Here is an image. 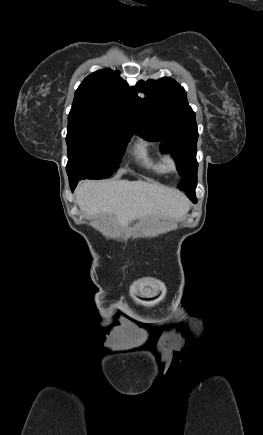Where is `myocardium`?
<instances>
[{
    "instance_id": "myocardium-1",
    "label": "myocardium",
    "mask_w": 263,
    "mask_h": 435,
    "mask_svg": "<svg viewBox=\"0 0 263 435\" xmlns=\"http://www.w3.org/2000/svg\"><path fill=\"white\" fill-rule=\"evenodd\" d=\"M166 164H167V168L170 171H175L177 169V161H176V159L174 157H169L167 159Z\"/></svg>"
}]
</instances>
